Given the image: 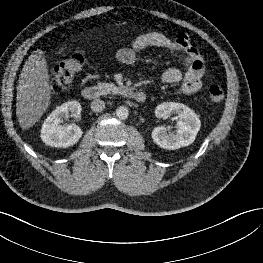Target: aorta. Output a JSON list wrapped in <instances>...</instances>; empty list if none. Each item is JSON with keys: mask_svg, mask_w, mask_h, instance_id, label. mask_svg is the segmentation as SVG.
I'll list each match as a JSON object with an SVG mask.
<instances>
[{"mask_svg": "<svg viewBox=\"0 0 263 263\" xmlns=\"http://www.w3.org/2000/svg\"><path fill=\"white\" fill-rule=\"evenodd\" d=\"M116 116L121 119L125 120L129 116V110L125 106H120L116 109Z\"/></svg>", "mask_w": 263, "mask_h": 263, "instance_id": "aorta-1", "label": "aorta"}]
</instances>
